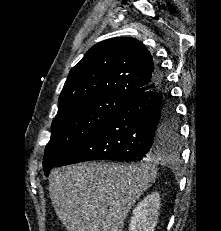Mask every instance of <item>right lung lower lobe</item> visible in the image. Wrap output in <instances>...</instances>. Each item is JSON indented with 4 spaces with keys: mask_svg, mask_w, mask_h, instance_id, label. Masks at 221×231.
I'll return each instance as SVG.
<instances>
[{
    "mask_svg": "<svg viewBox=\"0 0 221 231\" xmlns=\"http://www.w3.org/2000/svg\"><path fill=\"white\" fill-rule=\"evenodd\" d=\"M156 87L124 103L57 166L90 160L140 161L176 147L165 134L175 113L159 65Z\"/></svg>",
    "mask_w": 221,
    "mask_h": 231,
    "instance_id": "right-lung-lower-lobe-1",
    "label": "right lung lower lobe"
}]
</instances>
